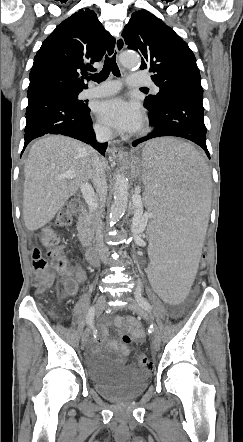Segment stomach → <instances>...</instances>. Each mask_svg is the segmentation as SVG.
Masks as SVG:
<instances>
[{"instance_id": "obj_1", "label": "stomach", "mask_w": 243, "mask_h": 442, "mask_svg": "<svg viewBox=\"0 0 243 442\" xmlns=\"http://www.w3.org/2000/svg\"><path fill=\"white\" fill-rule=\"evenodd\" d=\"M128 163H129L131 175L133 177H136V175H135L136 167H137V165H140V159L137 157H132L128 160Z\"/></svg>"}]
</instances>
